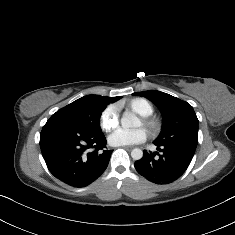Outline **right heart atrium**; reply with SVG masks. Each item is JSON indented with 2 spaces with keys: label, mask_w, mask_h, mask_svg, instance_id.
Returning a JSON list of instances; mask_svg holds the SVG:
<instances>
[{
  "label": "right heart atrium",
  "mask_w": 235,
  "mask_h": 235,
  "mask_svg": "<svg viewBox=\"0 0 235 235\" xmlns=\"http://www.w3.org/2000/svg\"><path fill=\"white\" fill-rule=\"evenodd\" d=\"M119 124V108L116 104H108L100 113L99 125L103 131L109 132Z\"/></svg>",
  "instance_id": "1"
}]
</instances>
